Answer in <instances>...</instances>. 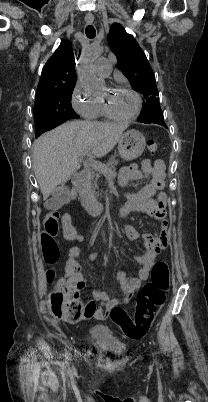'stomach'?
Wrapping results in <instances>:
<instances>
[{
	"instance_id": "1",
	"label": "stomach",
	"mask_w": 208,
	"mask_h": 402,
	"mask_svg": "<svg viewBox=\"0 0 208 402\" xmlns=\"http://www.w3.org/2000/svg\"><path fill=\"white\" fill-rule=\"evenodd\" d=\"M145 146V138L141 132L128 130V132L122 134V138L118 142L119 156L126 162H131V160H136L143 154Z\"/></svg>"
}]
</instances>
